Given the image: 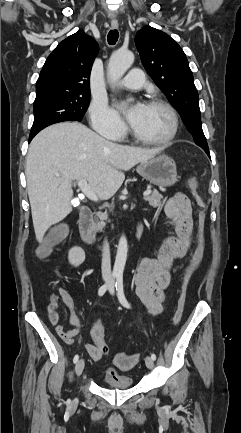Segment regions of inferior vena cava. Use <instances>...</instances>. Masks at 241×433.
<instances>
[{"label":"inferior vena cava","mask_w":241,"mask_h":433,"mask_svg":"<svg viewBox=\"0 0 241 433\" xmlns=\"http://www.w3.org/2000/svg\"><path fill=\"white\" fill-rule=\"evenodd\" d=\"M101 269H102V278L104 280H110L112 278L111 258H110L109 243L107 242V240L104 241Z\"/></svg>","instance_id":"obj_1"}]
</instances>
